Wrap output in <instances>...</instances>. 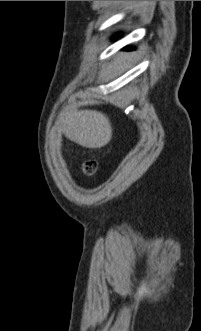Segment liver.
<instances>
[{"label": "liver", "instance_id": "1", "mask_svg": "<svg viewBox=\"0 0 201 331\" xmlns=\"http://www.w3.org/2000/svg\"><path fill=\"white\" fill-rule=\"evenodd\" d=\"M58 124L69 140L86 148H101L112 138L108 117L95 110L64 109L58 116Z\"/></svg>", "mask_w": 201, "mask_h": 331}]
</instances>
